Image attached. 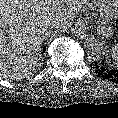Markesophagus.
<instances>
[{"label":"esophagus","mask_w":118,"mask_h":118,"mask_svg":"<svg viewBox=\"0 0 118 118\" xmlns=\"http://www.w3.org/2000/svg\"><path fill=\"white\" fill-rule=\"evenodd\" d=\"M72 30L73 33L80 39H86L88 37V32L84 21L76 22Z\"/></svg>","instance_id":"esophagus-1"}]
</instances>
